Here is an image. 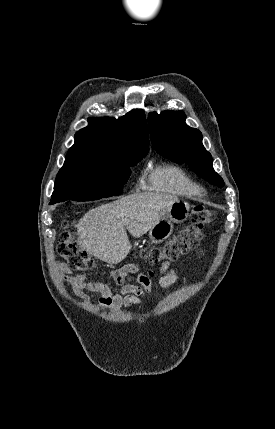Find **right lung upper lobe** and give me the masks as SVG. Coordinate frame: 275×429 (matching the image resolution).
Segmentation results:
<instances>
[{"label": "right lung upper lobe", "mask_w": 275, "mask_h": 429, "mask_svg": "<svg viewBox=\"0 0 275 429\" xmlns=\"http://www.w3.org/2000/svg\"><path fill=\"white\" fill-rule=\"evenodd\" d=\"M75 134L66 160L109 159L125 154H147L149 138L145 113L134 109L119 119L90 118Z\"/></svg>", "instance_id": "obj_1"}]
</instances>
